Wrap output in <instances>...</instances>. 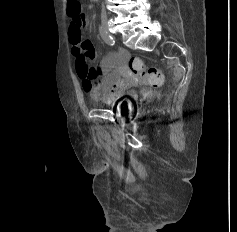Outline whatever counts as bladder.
I'll list each match as a JSON object with an SVG mask.
<instances>
[{
  "label": "bladder",
  "mask_w": 237,
  "mask_h": 232,
  "mask_svg": "<svg viewBox=\"0 0 237 232\" xmlns=\"http://www.w3.org/2000/svg\"><path fill=\"white\" fill-rule=\"evenodd\" d=\"M135 101L132 98H125L117 101L114 108L121 114H129L134 110Z\"/></svg>",
  "instance_id": "bladder-1"
}]
</instances>
